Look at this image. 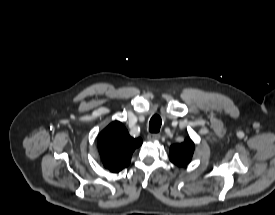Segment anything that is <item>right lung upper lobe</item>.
<instances>
[{"mask_svg":"<svg viewBox=\"0 0 275 215\" xmlns=\"http://www.w3.org/2000/svg\"><path fill=\"white\" fill-rule=\"evenodd\" d=\"M142 144L133 138L121 122L115 121L98 136V149L104 166L111 172H119L128 166L133 151Z\"/></svg>","mask_w":275,"mask_h":215,"instance_id":"cb5924a9","label":"right lung upper lobe"}]
</instances>
